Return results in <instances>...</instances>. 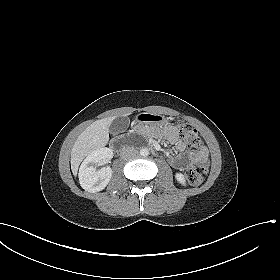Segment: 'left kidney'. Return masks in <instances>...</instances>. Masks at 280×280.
<instances>
[{
	"label": "left kidney",
	"instance_id": "left-kidney-1",
	"mask_svg": "<svg viewBox=\"0 0 280 280\" xmlns=\"http://www.w3.org/2000/svg\"><path fill=\"white\" fill-rule=\"evenodd\" d=\"M175 178L183 186L186 185V180H185V177H184V175L182 173H176Z\"/></svg>",
	"mask_w": 280,
	"mask_h": 280
}]
</instances>
